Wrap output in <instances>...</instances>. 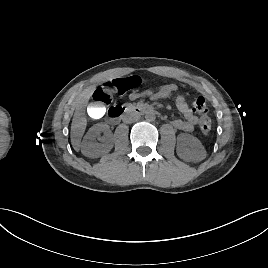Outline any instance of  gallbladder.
<instances>
[{"label": "gallbladder", "instance_id": "gallbladder-1", "mask_svg": "<svg viewBox=\"0 0 268 268\" xmlns=\"http://www.w3.org/2000/svg\"><path fill=\"white\" fill-rule=\"evenodd\" d=\"M88 111L93 118H100L104 114L105 108L101 102L95 101L89 105Z\"/></svg>", "mask_w": 268, "mask_h": 268}]
</instances>
